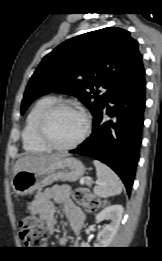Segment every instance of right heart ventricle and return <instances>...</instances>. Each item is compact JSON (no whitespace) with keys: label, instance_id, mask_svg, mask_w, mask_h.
Wrapping results in <instances>:
<instances>
[{"label":"right heart ventricle","instance_id":"1","mask_svg":"<svg viewBox=\"0 0 162 261\" xmlns=\"http://www.w3.org/2000/svg\"><path fill=\"white\" fill-rule=\"evenodd\" d=\"M54 102L55 99L51 96L41 97L29 111L22 131L23 147L27 152L43 153L47 151V148L38 140L37 123L43 111Z\"/></svg>","mask_w":162,"mask_h":261}]
</instances>
